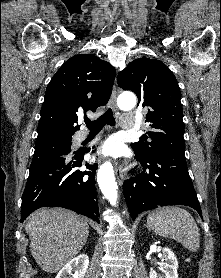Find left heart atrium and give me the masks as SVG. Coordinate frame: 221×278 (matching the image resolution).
Listing matches in <instances>:
<instances>
[{
	"mask_svg": "<svg viewBox=\"0 0 221 278\" xmlns=\"http://www.w3.org/2000/svg\"><path fill=\"white\" fill-rule=\"evenodd\" d=\"M118 150V144L114 141H108L104 146L102 151L106 154H114Z\"/></svg>",
	"mask_w": 221,
	"mask_h": 278,
	"instance_id": "39dd6f15",
	"label": "left heart atrium"
}]
</instances>
